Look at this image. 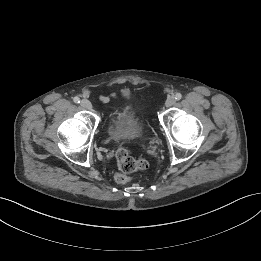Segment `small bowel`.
I'll use <instances>...</instances> for the list:
<instances>
[{
	"instance_id": "c3829d8e",
	"label": "small bowel",
	"mask_w": 261,
	"mask_h": 261,
	"mask_svg": "<svg viewBox=\"0 0 261 261\" xmlns=\"http://www.w3.org/2000/svg\"><path fill=\"white\" fill-rule=\"evenodd\" d=\"M115 97V95H111V96H102L101 97V100L103 101V102H109L112 98H114Z\"/></svg>"
}]
</instances>
